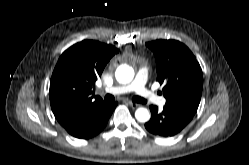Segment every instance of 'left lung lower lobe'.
<instances>
[{
    "mask_svg": "<svg viewBox=\"0 0 249 165\" xmlns=\"http://www.w3.org/2000/svg\"><path fill=\"white\" fill-rule=\"evenodd\" d=\"M151 119L145 123V128L152 134L161 137H171L179 133L192 120L189 114L178 108L164 106L158 110L157 106L151 105Z\"/></svg>",
    "mask_w": 249,
    "mask_h": 165,
    "instance_id": "1",
    "label": "left lung lower lobe"
}]
</instances>
